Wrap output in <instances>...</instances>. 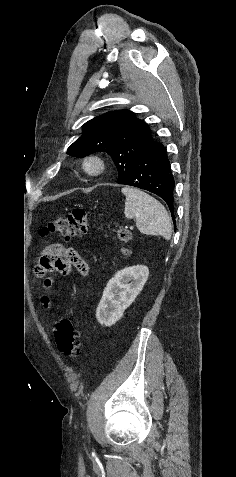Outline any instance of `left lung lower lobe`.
Listing matches in <instances>:
<instances>
[{
    "label": "left lung lower lobe",
    "mask_w": 236,
    "mask_h": 477,
    "mask_svg": "<svg viewBox=\"0 0 236 477\" xmlns=\"http://www.w3.org/2000/svg\"><path fill=\"white\" fill-rule=\"evenodd\" d=\"M119 184L134 186L161 197L168 205L175 225L174 178L165 147L156 141L132 162L127 176Z\"/></svg>",
    "instance_id": "obj_1"
}]
</instances>
